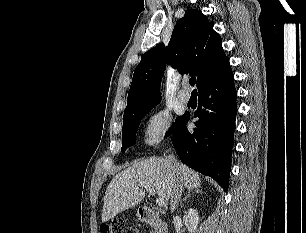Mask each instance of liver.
Segmentation results:
<instances>
[{
	"label": "liver",
	"mask_w": 306,
	"mask_h": 233,
	"mask_svg": "<svg viewBox=\"0 0 306 233\" xmlns=\"http://www.w3.org/2000/svg\"><path fill=\"white\" fill-rule=\"evenodd\" d=\"M174 165L166 158L141 160L116 174L104 195L102 222L139 204L145 197L140 184H149L160 198L171 199L178 181L189 188L201 186L199 174L184 164Z\"/></svg>",
	"instance_id": "6515ba94"
}]
</instances>
